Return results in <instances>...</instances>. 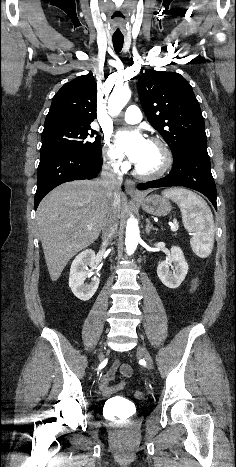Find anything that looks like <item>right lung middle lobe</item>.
I'll return each instance as SVG.
<instances>
[{
    "mask_svg": "<svg viewBox=\"0 0 236 467\" xmlns=\"http://www.w3.org/2000/svg\"><path fill=\"white\" fill-rule=\"evenodd\" d=\"M62 149L101 157V138L90 125H58L44 128L40 155Z\"/></svg>",
    "mask_w": 236,
    "mask_h": 467,
    "instance_id": "dd1d6c3e",
    "label": "right lung middle lobe"
}]
</instances>
